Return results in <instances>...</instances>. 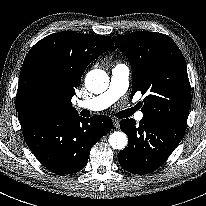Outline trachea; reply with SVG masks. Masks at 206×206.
Instances as JSON below:
<instances>
[{"instance_id": "trachea-1", "label": "trachea", "mask_w": 206, "mask_h": 206, "mask_svg": "<svg viewBox=\"0 0 206 206\" xmlns=\"http://www.w3.org/2000/svg\"><path fill=\"white\" fill-rule=\"evenodd\" d=\"M134 112V108L132 109H128V110H125V111H122L118 114V117L119 118H126V117H129L130 115H132Z\"/></svg>"}]
</instances>
